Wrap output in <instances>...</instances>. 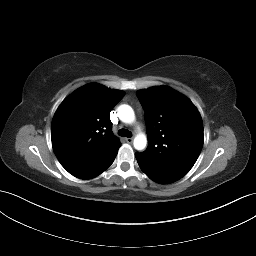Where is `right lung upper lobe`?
Wrapping results in <instances>:
<instances>
[{
  "mask_svg": "<svg viewBox=\"0 0 256 256\" xmlns=\"http://www.w3.org/2000/svg\"><path fill=\"white\" fill-rule=\"evenodd\" d=\"M125 93L97 83L74 91L58 107L51 138L56 157L67 170L89 164L118 151L110 112Z\"/></svg>",
  "mask_w": 256,
  "mask_h": 256,
  "instance_id": "right-lung-upper-lobe-1",
  "label": "right lung upper lobe"
}]
</instances>
